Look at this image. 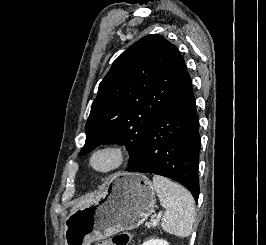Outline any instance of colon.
Listing matches in <instances>:
<instances>
[{
	"label": "colon",
	"mask_w": 266,
	"mask_h": 245,
	"mask_svg": "<svg viewBox=\"0 0 266 245\" xmlns=\"http://www.w3.org/2000/svg\"><path fill=\"white\" fill-rule=\"evenodd\" d=\"M131 233L129 231H121L116 233L112 238L113 245H128ZM96 245H106L104 241L96 242Z\"/></svg>",
	"instance_id": "colon-1"
}]
</instances>
